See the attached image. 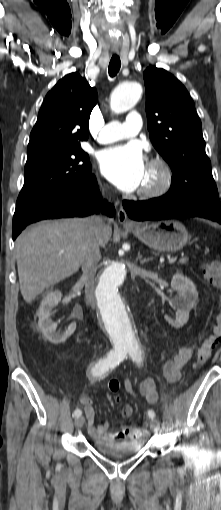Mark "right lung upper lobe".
Listing matches in <instances>:
<instances>
[{
	"label": "right lung upper lobe",
	"mask_w": 221,
	"mask_h": 510,
	"mask_svg": "<svg viewBox=\"0 0 221 510\" xmlns=\"http://www.w3.org/2000/svg\"><path fill=\"white\" fill-rule=\"evenodd\" d=\"M96 102V90L78 73L63 77L45 97L27 154L80 145V141L87 140L89 117Z\"/></svg>",
	"instance_id": "cb5924a9"
}]
</instances>
